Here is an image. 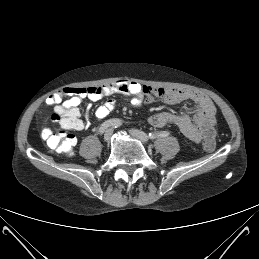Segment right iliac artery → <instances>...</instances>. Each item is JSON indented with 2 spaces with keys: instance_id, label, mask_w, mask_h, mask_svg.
I'll return each mask as SVG.
<instances>
[{
  "instance_id": "1",
  "label": "right iliac artery",
  "mask_w": 259,
  "mask_h": 259,
  "mask_svg": "<svg viewBox=\"0 0 259 259\" xmlns=\"http://www.w3.org/2000/svg\"><path fill=\"white\" fill-rule=\"evenodd\" d=\"M116 121H121L120 119H110V120H107L105 122H103L99 128V134H103L104 131L108 128V127H111L112 124ZM122 122V121H121Z\"/></svg>"
}]
</instances>
